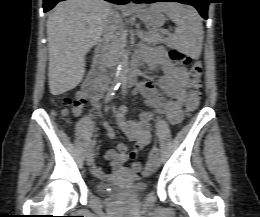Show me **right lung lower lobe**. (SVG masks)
I'll return each instance as SVG.
<instances>
[{"label":"right lung lower lobe","instance_id":"obj_1","mask_svg":"<svg viewBox=\"0 0 260 217\" xmlns=\"http://www.w3.org/2000/svg\"><path fill=\"white\" fill-rule=\"evenodd\" d=\"M59 1H63V0H44V4H43L44 12H47L50 9H52ZM106 1L116 3V4H127L131 0H106Z\"/></svg>","mask_w":260,"mask_h":217}]
</instances>
